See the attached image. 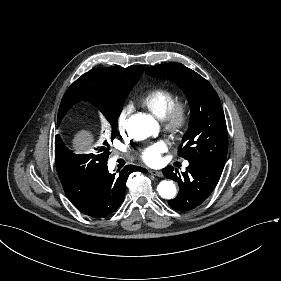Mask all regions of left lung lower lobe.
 <instances>
[{
  "label": "left lung lower lobe",
  "instance_id": "left-lung-lower-lobe-1",
  "mask_svg": "<svg viewBox=\"0 0 281 281\" xmlns=\"http://www.w3.org/2000/svg\"><path fill=\"white\" fill-rule=\"evenodd\" d=\"M221 173L196 160H189V166L182 175H177L173 167H166L163 174L179 184V193L176 198L168 201L169 206L179 211H188L199 206L212 193Z\"/></svg>",
  "mask_w": 281,
  "mask_h": 281
}]
</instances>
